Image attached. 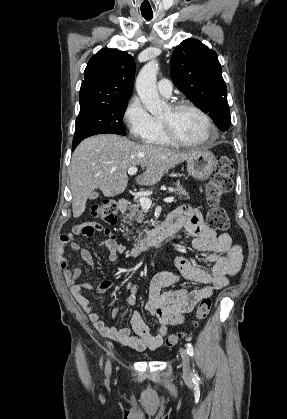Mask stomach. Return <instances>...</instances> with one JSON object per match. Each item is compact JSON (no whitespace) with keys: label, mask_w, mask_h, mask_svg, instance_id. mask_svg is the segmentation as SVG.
<instances>
[{"label":"stomach","mask_w":287,"mask_h":419,"mask_svg":"<svg viewBox=\"0 0 287 419\" xmlns=\"http://www.w3.org/2000/svg\"><path fill=\"white\" fill-rule=\"evenodd\" d=\"M216 167L215 156L207 150H200L187 160V171L195 179L207 180Z\"/></svg>","instance_id":"obj_1"}]
</instances>
